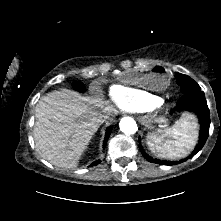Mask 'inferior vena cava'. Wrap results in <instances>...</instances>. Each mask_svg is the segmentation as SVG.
Wrapping results in <instances>:
<instances>
[{
	"label": "inferior vena cava",
	"instance_id": "obj_1",
	"mask_svg": "<svg viewBox=\"0 0 221 221\" xmlns=\"http://www.w3.org/2000/svg\"><path fill=\"white\" fill-rule=\"evenodd\" d=\"M112 115V112L110 111V110H108V109H105V110H103V112L102 113H100V116H99V121L101 122V123H103V122H105L106 120H109Z\"/></svg>",
	"mask_w": 221,
	"mask_h": 221
}]
</instances>
